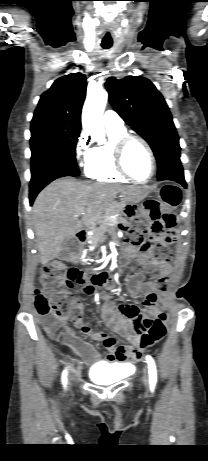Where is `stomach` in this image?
<instances>
[{"instance_id":"obj_1","label":"stomach","mask_w":208,"mask_h":461,"mask_svg":"<svg viewBox=\"0 0 208 461\" xmlns=\"http://www.w3.org/2000/svg\"><path fill=\"white\" fill-rule=\"evenodd\" d=\"M148 190L143 187H138L130 192L123 194V201L127 204H137L142 201L147 195Z\"/></svg>"}]
</instances>
